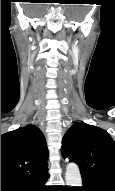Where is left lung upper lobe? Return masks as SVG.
I'll use <instances>...</instances> for the list:
<instances>
[{"mask_svg": "<svg viewBox=\"0 0 115 191\" xmlns=\"http://www.w3.org/2000/svg\"><path fill=\"white\" fill-rule=\"evenodd\" d=\"M62 155L79 165L83 182L115 191V142L107 131L76 122L62 140Z\"/></svg>", "mask_w": 115, "mask_h": 191, "instance_id": "5c2ea615", "label": "left lung upper lobe"}]
</instances>
